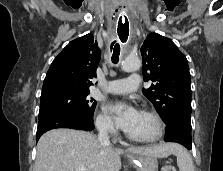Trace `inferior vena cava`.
Masks as SVG:
<instances>
[{
    "mask_svg": "<svg viewBox=\"0 0 223 171\" xmlns=\"http://www.w3.org/2000/svg\"><path fill=\"white\" fill-rule=\"evenodd\" d=\"M98 141L102 145H110L109 135H108V126L102 125L99 127Z\"/></svg>",
    "mask_w": 223,
    "mask_h": 171,
    "instance_id": "602c4592",
    "label": "inferior vena cava"
}]
</instances>
